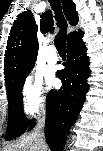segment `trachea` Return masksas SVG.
<instances>
[{"label": "trachea", "instance_id": "trachea-1", "mask_svg": "<svg viewBox=\"0 0 103 151\" xmlns=\"http://www.w3.org/2000/svg\"><path fill=\"white\" fill-rule=\"evenodd\" d=\"M52 9L55 12V18L58 26L60 27V31L58 35L55 37L54 45L59 52V54H66V38H67V22L62 13L60 0H49Z\"/></svg>", "mask_w": 103, "mask_h": 151}]
</instances>
